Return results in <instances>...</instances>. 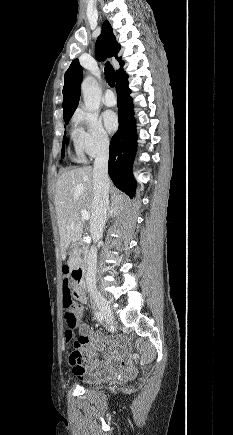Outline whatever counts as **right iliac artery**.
I'll use <instances>...</instances> for the list:
<instances>
[{
    "mask_svg": "<svg viewBox=\"0 0 233 435\" xmlns=\"http://www.w3.org/2000/svg\"><path fill=\"white\" fill-rule=\"evenodd\" d=\"M95 316H96L97 320H99L100 322H102L104 320L103 315L98 311L95 312Z\"/></svg>",
    "mask_w": 233,
    "mask_h": 435,
    "instance_id": "obj_1",
    "label": "right iliac artery"
}]
</instances>
